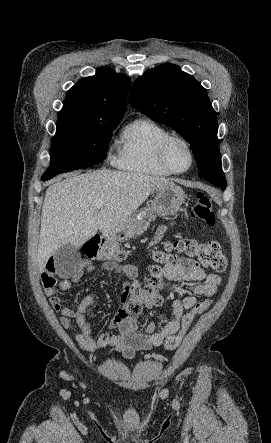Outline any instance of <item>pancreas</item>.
<instances>
[{
    "label": "pancreas",
    "mask_w": 271,
    "mask_h": 443,
    "mask_svg": "<svg viewBox=\"0 0 271 443\" xmlns=\"http://www.w3.org/2000/svg\"><path fill=\"white\" fill-rule=\"evenodd\" d=\"M147 220H155L156 216H153V214H148V216H145ZM136 225H141L140 229H146V225H148L147 222H140V220H135Z\"/></svg>",
    "instance_id": "obj_1"
}]
</instances>
